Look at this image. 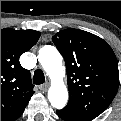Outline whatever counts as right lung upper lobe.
<instances>
[{
    "instance_id": "right-lung-upper-lobe-1",
    "label": "right lung upper lobe",
    "mask_w": 121,
    "mask_h": 121,
    "mask_svg": "<svg viewBox=\"0 0 121 121\" xmlns=\"http://www.w3.org/2000/svg\"><path fill=\"white\" fill-rule=\"evenodd\" d=\"M39 37L34 30L1 29V121H15L34 93L30 71L19 58Z\"/></svg>"
}]
</instances>
